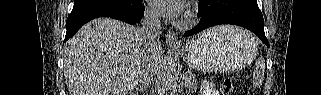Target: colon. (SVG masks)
Instances as JSON below:
<instances>
[{
  "label": "colon",
  "instance_id": "obj_1",
  "mask_svg": "<svg viewBox=\"0 0 321 95\" xmlns=\"http://www.w3.org/2000/svg\"><path fill=\"white\" fill-rule=\"evenodd\" d=\"M234 92V83L227 79L222 82L220 86V94H232Z\"/></svg>",
  "mask_w": 321,
  "mask_h": 95
}]
</instances>
